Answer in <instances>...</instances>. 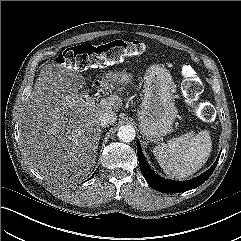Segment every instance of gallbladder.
<instances>
[{
  "label": "gallbladder",
  "instance_id": "obj_1",
  "mask_svg": "<svg viewBox=\"0 0 241 241\" xmlns=\"http://www.w3.org/2000/svg\"><path fill=\"white\" fill-rule=\"evenodd\" d=\"M74 76H77L78 79H74V81H75L79 86H82V85L85 83L84 78H83L80 74L74 72Z\"/></svg>",
  "mask_w": 241,
  "mask_h": 241
}]
</instances>
